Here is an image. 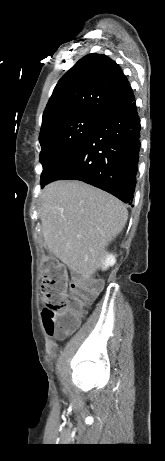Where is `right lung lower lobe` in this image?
Segmentation results:
<instances>
[{
    "mask_svg": "<svg viewBox=\"0 0 165 461\" xmlns=\"http://www.w3.org/2000/svg\"><path fill=\"white\" fill-rule=\"evenodd\" d=\"M140 128L135 101L110 113L46 184L60 179L80 180L131 204L141 147Z\"/></svg>",
    "mask_w": 165,
    "mask_h": 461,
    "instance_id": "right-lung-lower-lobe-1",
    "label": "right lung lower lobe"
}]
</instances>
